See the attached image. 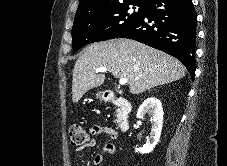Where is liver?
<instances>
[{"label":"liver","mask_w":227,"mask_h":166,"mask_svg":"<svg viewBox=\"0 0 227 166\" xmlns=\"http://www.w3.org/2000/svg\"><path fill=\"white\" fill-rule=\"evenodd\" d=\"M106 67L116 78H126L130 93L140 94L183 78L185 66L176 58L130 39H111L89 45L77 59L72 76V101L101 86Z\"/></svg>","instance_id":"6515ba94"}]
</instances>
